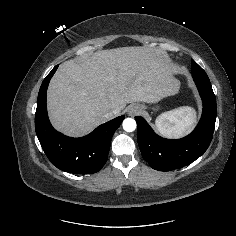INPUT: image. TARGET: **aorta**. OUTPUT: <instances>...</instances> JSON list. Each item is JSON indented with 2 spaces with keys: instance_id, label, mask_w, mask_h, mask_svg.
Returning a JSON list of instances; mask_svg holds the SVG:
<instances>
[{
  "instance_id": "762f6f07",
  "label": "aorta",
  "mask_w": 236,
  "mask_h": 236,
  "mask_svg": "<svg viewBox=\"0 0 236 236\" xmlns=\"http://www.w3.org/2000/svg\"><path fill=\"white\" fill-rule=\"evenodd\" d=\"M122 125L126 132H132L136 129V121L132 118H126Z\"/></svg>"
}]
</instances>
